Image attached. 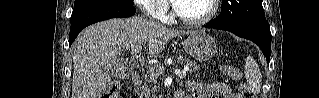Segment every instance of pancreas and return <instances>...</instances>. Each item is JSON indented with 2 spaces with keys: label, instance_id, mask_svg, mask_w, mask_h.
<instances>
[{
  "label": "pancreas",
  "instance_id": "cf45deb5",
  "mask_svg": "<svg viewBox=\"0 0 319 98\" xmlns=\"http://www.w3.org/2000/svg\"><path fill=\"white\" fill-rule=\"evenodd\" d=\"M180 62L184 63L185 65H187L190 69V72H194L196 70L199 69V66L197 65V63L195 61H190L188 59H183V58H179ZM158 66V65H156ZM161 70V73H163V67L162 66H158ZM159 74V75H160ZM159 75H153L151 74L149 71L146 72L143 76V83L138 84L135 88L137 91H139L140 94V98H149L151 95V92H155L157 89L156 86V79Z\"/></svg>",
  "mask_w": 319,
  "mask_h": 98
}]
</instances>
